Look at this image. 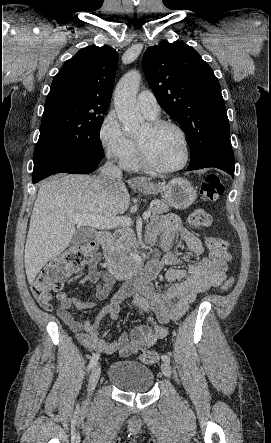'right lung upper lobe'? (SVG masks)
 I'll list each match as a JSON object with an SVG mask.
<instances>
[{"label":"right lung upper lobe","instance_id":"right-lung-upper-lobe-1","mask_svg":"<svg viewBox=\"0 0 271 443\" xmlns=\"http://www.w3.org/2000/svg\"><path fill=\"white\" fill-rule=\"evenodd\" d=\"M118 53L110 46H88L67 60L55 75L46 103L71 101L107 110L117 70Z\"/></svg>","mask_w":271,"mask_h":443}]
</instances>
